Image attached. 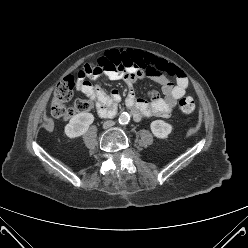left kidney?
Returning <instances> with one entry per match:
<instances>
[{
    "mask_svg": "<svg viewBox=\"0 0 248 248\" xmlns=\"http://www.w3.org/2000/svg\"><path fill=\"white\" fill-rule=\"evenodd\" d=\"M153 135L160 139L168 138V135L172 132V125L166 123L163 120H155L150 124Z\"/></svg>",
    "mask_w": 248,
    "mask_h": 248,
    "instance_id": "left-kidney-1",
    "label": "left kidney"
}]
</instances>
